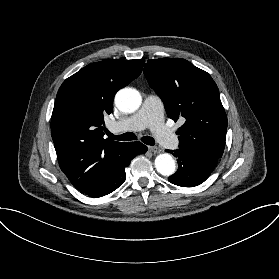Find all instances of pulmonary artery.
<instances>
[{"label":"pulmonary artery","mask_w":279,"mask_h":279,"mask_svg":"<svg viewBox=\"0 0 279 279\" xmlns=\"http://www.w3.org/2000/svg\"><path fill=\"white\" fill-rule=\"evenodd\" d=\"M159 95L152 93L145 97L142 108L135 116L114 119L110 123V129L114 133L121 131L150 127L153 133L159 138L162 145L170 150H175L179 146V141L172 135V131L167 129L161 122L165 117V110L161 105Z\"/></svg>","instance_id":"obj_1"}]
</instances>
